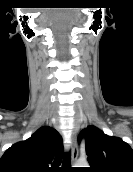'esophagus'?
<instances>
[{
  "mask_svg": "<svg viewBox=\"0 0 133 172\" xmlns=\"http://www.w3.org/2000/svg\"><path fill=\"white\" fill-rule=\"evenodd\" d=\"M71 158H72L73 164L78 158V148H77V141H76L75 135H73V140H72V145H71Z\"/></svg>",
  "mask_w": 133,
  "mask_h": 172,
  "instance_id": "esophagus-1",
  "label": "esophagus"
}]
</instances>
